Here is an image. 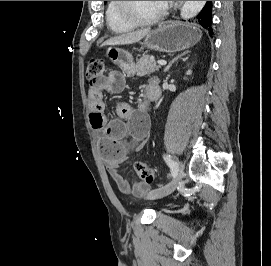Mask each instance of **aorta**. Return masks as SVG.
I'll list each match as a JSON object with an SVG mask.
<instances>
[{"mask_svg": "<svg viewBox=\"0 0 271 266\" xmlns=\"http://www.w3.org/2000/svg\"><path fill=\"white\" fill-rule=\"evenodd\" d=\"M206 1H185L180 10L182 19L187 20L195 17L204 7Z\"/></svg>", "mask_w": 271, "mask_h": 266, "instance_id": "aorta-1", "label": "aorta"}]
</instances>
